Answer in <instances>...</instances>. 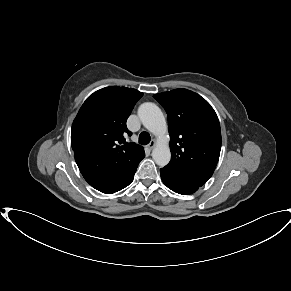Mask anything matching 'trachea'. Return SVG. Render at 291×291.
I'll list each match as a JSON object with an SVG mask.
<instances>
[{
  "label": "trachea",
  "mask_w": 291,
  "mask_h": 291,
  "mask_svg": "<svg viewBox=\"0 0 291 291\" xmlns=\"http://www.w3.org/2000/svg\"><path fill=\"white\" fill-rule=\"evenodd\" d=\"M151 140V137H150V134L148 132H141L140 135H139V143L142 144V145H146L150 142Z\"/></svg>",
  "instance_id": "trachea-1"
}]
</instances>
